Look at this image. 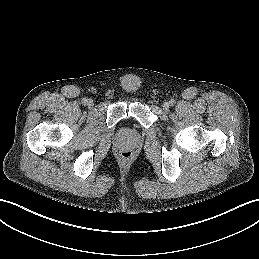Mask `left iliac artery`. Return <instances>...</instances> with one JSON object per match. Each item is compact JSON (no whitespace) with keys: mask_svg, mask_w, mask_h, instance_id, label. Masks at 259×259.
<instances>
[{"mask_svg":"<svg viewBox=\"0 0 259 259\" xmlns=\"http://www.w3.org/2000/svg\"><path fill=\"white\" fill-rule=\"evenodd\" d=\"M169 104H170L171 106L175 105V100H174V99H171V100L169 101Z\"/></svg>","mask_w":259,"mask_h":259,"instance_id":"obj_1","label":"left iliac artery"}]
</instances>
